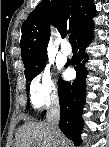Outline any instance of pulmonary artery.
<instances>
[{
  "label": "pulmonary artery",
  "mask_w": 109,
  "mask_h": 147,
  "mask_svg": "<svg viewBox=\"0 0 109 147\" xmlns=\"http://www.w3.org/2000/svg\"><path fill=\"white\" fill-rule=\"evenodd\" d=\"M61 51L65 56H69L72 53V49L68 41H64Z\"/></svg>",
  "instance_id": "1"
}]
</instances>
